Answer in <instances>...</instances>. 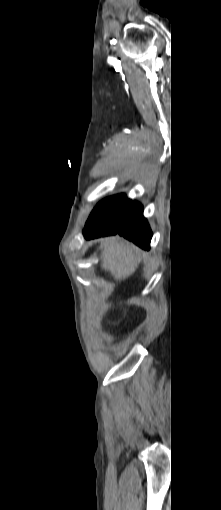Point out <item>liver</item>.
<instances>
[{
    "label": "liver",
    "instance_id": "6515ba94",
    "mask_svg": "<svg viewBox=\"0 0 221 510\" xmlns=\"http://www.w3.org/2000/svg\"><path fill=\"white\" fill-rule=\"evenodd\" d=\"M101 246V267L110 272L117 281L132 275L141 262V250L118 236L102 239Z\"/></svg>",
    "mask_w": 221,
    "mask_h": 510
}]
</instances>
